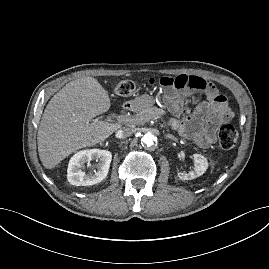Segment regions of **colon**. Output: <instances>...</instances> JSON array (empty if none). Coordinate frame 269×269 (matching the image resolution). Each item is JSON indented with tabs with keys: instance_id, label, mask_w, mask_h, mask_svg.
Returning <instances> with one entry per match:
<instances>
[{
	"instance_id": "obj_1",
	"label": "colon",
	"mask_w": 269,
	"mask_h": 269,
	"mask_svg": "<svg viewBox=\"0 0 269 269\" xmlns=\"http://www.w3.org/2000/svg\"><path fill=\"white\" fill-rule=\"evenodd\" d=\"M137 89V83L132 80H124L114 87L117 96H130ZM219 145L225 150L233 149L238 141V133L233 125L225 124L220 127L218 132Z\"/></svg>"
}]
</instances>
